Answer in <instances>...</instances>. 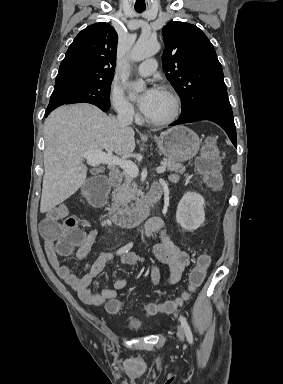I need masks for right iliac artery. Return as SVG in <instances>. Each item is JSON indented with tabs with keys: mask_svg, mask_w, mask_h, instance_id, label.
Listing matches in <instances>:
<instances>
[{
	"mask_svg": "<svg viewBox=\"0 0 283 384\" xmlns=\"http://www.w3.org/2000/svg\"><path fill=\"white\" fill-rule=\"evenodd\" d=\"M133 246V243L130 242L128 243L127 245H125L124 247L120 248L118 251H117V254L121 255L123 253H126L128 252Z\"/></svg>",
	"mask_w": 283,
	"mask_h": 384,
	"instance_id": "obj_1",
	"label": "right iliac artery"
}]
</instances>
